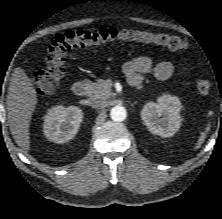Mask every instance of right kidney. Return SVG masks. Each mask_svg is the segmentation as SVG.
<instances>
[{
  "instance_id": "ca27d5eb",
  "label": "right kidney",
  "mask_w": 222,
  "mask_h": 219,
  "mask_svg": "<svg viewBox=\"0 0 222 219\" xmlns=\"http://www.w3.org/2000/svg\"><path fill=\"white\" fill-rule=\"evenodd\" d=\"M82 118L83 112L76 106H54L44 116V135L52 142L66 143L77 134Z\"/></svg>"
}]
</instances>
